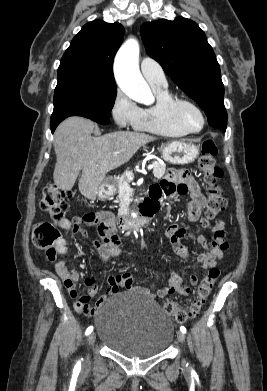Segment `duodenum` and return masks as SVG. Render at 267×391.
I'll return each mask as SVG.
<instances>
[{
    "label": "duodenum",
    "mask_w": 267,
    "mask_h": 391,
    "mask_svg": "<svg viewBox=\"0 0 267 391\" xmlns=\"http://www.w3.org/2000/svg\"><path fill=\"white\" fill-rule=\"evenodd\" d=\"M156 210L153 202H146L142 207L141 215L136 218L130 217L127 213H121L116 220V225L120 230L144 229L148 226L151 216Z\"/></svg>",
    "instance_id": "410a0bca"
}]
</instances>
